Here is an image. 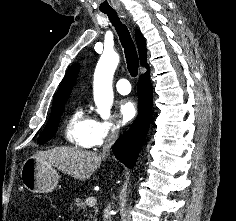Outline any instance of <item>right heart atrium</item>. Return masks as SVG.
<instances>
[{
	"mask_svg": "<svg viewBox=\"0 0 236 221\" xmlns=\"http://www.w3.org/2000/svg\"><path fill=\"white\" fill-rule=\"evenodd\" d=\"M121 130L119 122L113 119H96L94 120L91 130V147H100L106 142L117 138Z\"/></svg>",
	"mask_w": 236,
	"mask_h": 221,
	"instance_id": "1",
	"label": "right heart atrium"
}]
</instances>
